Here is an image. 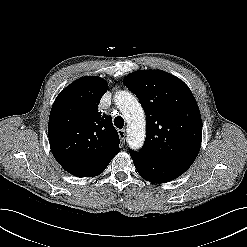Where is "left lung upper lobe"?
I'll return each instance as SVG.
<instances>
[{
	"label": "left lung upper lobe",
	"mask_w": 247,
	"mask_h": 247,
	"mask_svg": "<svg viewBox=\"0 0 247 247\" xmlns=\"http://www.w3.org/2000/svg\"><path fill=\"white\" fill-rule=\"evenodd\" d=\"M124 84L139 98L146 114V138L140 153L191 166L201 147L202 123L189 87L161 70L133 72Z\"/></svg>",
	"instance_id": "obj_1"
}]
</instances>
